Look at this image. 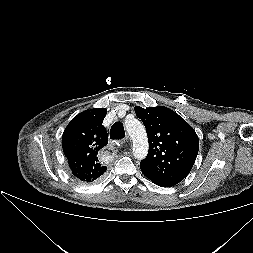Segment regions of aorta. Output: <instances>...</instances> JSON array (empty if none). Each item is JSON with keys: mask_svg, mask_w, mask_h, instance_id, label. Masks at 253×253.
<instances>
[{"mask_svg": "<svg viewBox=\"0 0 253 253\" xmlns=\"http://www.w3.org/2000/svg\"><path fill=\"white\" fill-rule=\"evenodd\" d=\"M125 128L133 142L134 157L144 159L148 153V138L143 124L135 118L127 119Z\"/></svg>", "mask_w": 253, "mask_h": 253, "instance_id": "obj_1", "label": "aorta"}]
</instances>
